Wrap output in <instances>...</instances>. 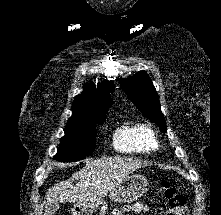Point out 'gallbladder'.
I'll return each instance as SVG.
<instances>
[{
    "instance_id": "gallbladder-1",
    "label": "gallbladder",
    "mask_w": 221,
    "mask_h": 215,
    "mask_svg": "<svg viewBox=\"0 0 221 215\" xmlns=\"http://www.w3.org/2000/svg\"><path fill=\"white\" fill-rule=\"evenodd\" d=\"M59 209V205L57 203L47 204L45 206V215H54V213Z\"/></svg>"
}]
</instances>
